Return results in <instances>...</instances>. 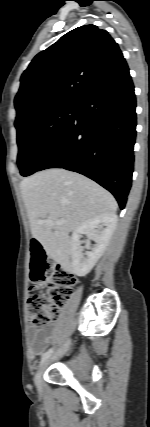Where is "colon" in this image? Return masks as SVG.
<instances>
[{
  "instance_id": "colon-1",
  "label": "colon",
  "mask_w": 150,
  "mask_h": 427,
  "mask_svg": "<svg viewBox=\"0 0 150 427\" xmlns=\"http://www.w3.org/2000/svg\"><path fill=\"white\" fill-rule=\"evenodd\" d=\"M30 256L31 279L36 284L28 289V319L32 325L45 326L58 318L77 280L62 265L48 258L42 244L36 239L30 243Z\"/></svg>"
}]
</instances>
